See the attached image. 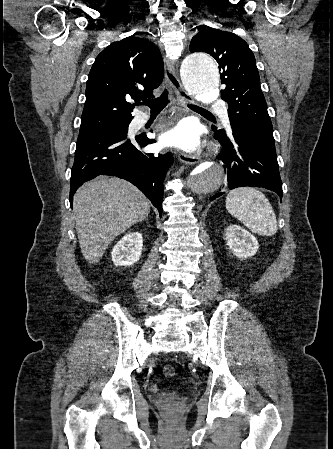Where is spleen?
<instances>
[{
  "instance_id": "obj_1",
  "label": "spleen",
  "mask_w": 333,
  "mask_h": 449,
  "mask_svg": "<svg viewBox=\"0 0 333 449\" xmlns=\"http://www.w3.org/2000/svg\"><path fill=\"white\" fill-rule=\"evenodd\" d=\"M228 212L245 224L252 232L270 236L277 232V220L272 205L259 190L238 187L226 198Z\"/></svg>"
}]
</instances>
